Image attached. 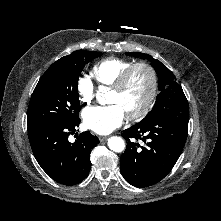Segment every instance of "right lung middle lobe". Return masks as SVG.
Listing matches in <instances>:
<instances>
[{"label": "right lung middle lobe", "instance_id": "obj_1", "mask_svg": "<svg viewBox=\"0 0 221 221\" xmlns=\"http://www.w3.org/2000/svg\"><path fill=\"white\" fill-rule=\"evenodd\" d=\"M100 55L96 51L78 50L54 62L33 91L28 106L27 125L79 120L78 79L85 64Z\"/></svg>", "mask_w": 221, "mask_h": 221}]
</instances>
